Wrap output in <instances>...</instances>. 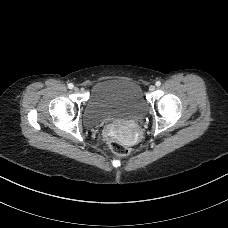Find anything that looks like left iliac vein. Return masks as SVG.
I'll use <instances>...</instances> for the list:
<instances>
[{
	"instance_id": "left-iliac-vein-1",
	"label": "left iliac vein",
	"mask_w": 228,
	"mask_h": 228,
	"mask_svg": "<svg viewBox=\"0 0 228 228\" xmlns=\"http://www.w3.org/2000/svg\"><path fill=\"white\" fill-rule=\"evenodd\" d=\"M155 89H156V87H155L154 85H151V86L149 87V91H150V92L155 91Z\"/></svg>"
}]
</instances>
